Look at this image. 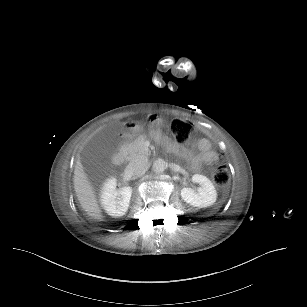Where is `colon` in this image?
Segmentation results:
<instances>
[{
    "instance_id": "colon-1",
    "label": "colon",
    "mask_w": 307,
    "mask_h": 307,
    "mask_svg": "<svg viewBox=\"0 0 307 307\" xmlns=\"http://www.w3.org/2000/svg\"><path fill=\"white\" fill-rule=\"evenodd\" d=\"M170 131L179 144H186L190 141L194 128L183 119L173 117L169 123ZM212 176L214 182L219 186H225L229 180L225 158L218 157L212 166Z\"/></svg>"
}]
</instances>
